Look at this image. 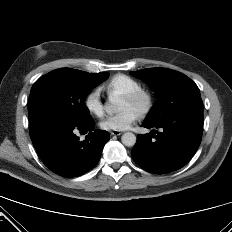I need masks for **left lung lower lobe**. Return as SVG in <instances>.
Returning a JSON list of instances; mask_svg holds the SVG:
<instances>
[{"label": "left lung lower lobe", "mask_w": 232, "mask_h": 232, "mask_svg": "<svg viewBox=\"0 0 232 232\" xmlns=\"http://www.w3.org/2000/svg\"><path fill=\"white\" fill-rule=\"evenodd\" d=\"M142 126L163 130L138 135L133 160L151 173H169L182 168L196 153L202 138L203 107L178 111L158 123L144 120Z\"/></svg>", "instance_id": "0a47b994"}]
</instances>
